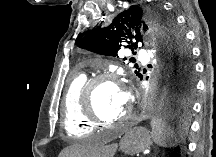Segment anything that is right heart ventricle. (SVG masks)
Segmentation results:
<instances>
[{
    "label": "right heart ventricle",
    "mask_w": 216,
    "mask_h": 157,
    "mask_svg": "<svg viewBox=\"0 0 216 157\" xmlns=\"http://www.w3.org/2000/svg\"><path fill=\"white\" fill-rule=\"evenodd\" d=\"M88 81L84 73H73L63 93L61 108L63 113V128L68 136L82 137L89 135L94 130L91 123L82 113L80 98L81 89Z\"/></svg>",
    "instance_id": "1"
}]
</instances>
